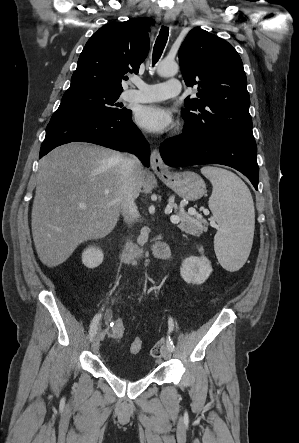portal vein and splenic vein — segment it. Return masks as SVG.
Returning <instances> with one entry per match:
<instances>
[{"label":"portal vein and splenic vein","instance_id":"1","mask_svg":"<svg viewBox=\"0 0 299 443\" xmlns=\"http://www.w3.org/2000/svg\"><path fill=\"white\" fill-rule=\"evenodd\" d=\"M79 207H80V208H85L86 205H84V204H80ZM189 211H190V210H189ZM171 212H172V208H171V207H167L166 210H165V213H166V214H170ZM190 213H191V214H195L196 212H195V210H193V211H191ZM170 219H171V222L174 223V224H178V223L180 222V219H179V217H178L177 215H173V216H171Z\"/></svg>","mask_w":299,"mask_h":443}]
</instances>
